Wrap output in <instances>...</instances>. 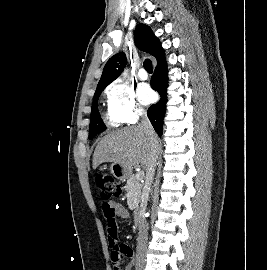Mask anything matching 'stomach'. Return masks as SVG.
Here are the masks:
<instances>
[{
  "label": "stomach",
  "mask_w": 267,
  "mask_h": 270,
  "mask_svg": "<svg viewBox=\"0 0 267 270\" xmlns=\"http://www.w3.org/2000/svg\"><path fill=\"white\" fill-rule=\"evenodd\" d=\"M110 171L113 174V176L117 179H127L132 171L124 166H122L119 163H112L110 166Z\"/></svg>",
  "instance_id": "1"
}]
</instances>
